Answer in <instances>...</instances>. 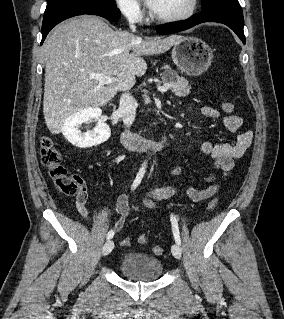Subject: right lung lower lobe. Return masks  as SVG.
<instances>
[{"instance_id": "98d812e1", "label": "right lung lower lobe", "mask_w": 284, "mask_h": 319, "mask_svg": "<svg viewBox=\"0 0 284 319\" xmlns=\"http://www.w3.org/2000/svg\"><path fill=\"white\" fill-rule=\"evenodd\" d=\"M83 14L98 15L110 21L120 19L121 13L116 6H76L60 9L48 16H45L42 23V42L45 40L49 31L61 21Z\"/></svg>"}]
</instances>
